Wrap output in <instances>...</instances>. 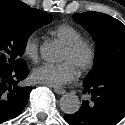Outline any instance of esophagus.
Returning <instances> with one entry per match:
<instances>
[{
  "mask_svg": "<svg viewBox=\"0 0 125 125\" xmlns=\"http://www.w3.org/2000/svg\"><path fill=\"white\" fill-rule=\"evenodd\" d=\"M53 90H54V92H55L56 94H59V95H63V94L66 93V90H65V89L59 88V87H54Z\"/></svg>",
  "mask_w": 125,
  "mask_h": 125,
  "instance_id": "obj_1",
  "label": "esophagus"
}]
</instances>
